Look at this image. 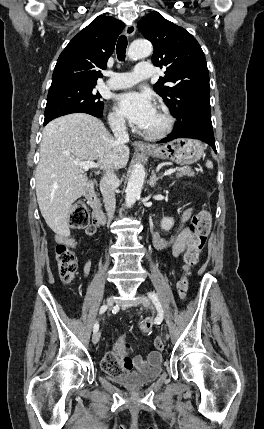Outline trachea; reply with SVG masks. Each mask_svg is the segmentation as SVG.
Returning a JSON list of instances; mask_svg holds the SVG:
<instances>
[{
  "mask_svg": "<svg viewBox=\"0 0 264 429\" xmlns=\"http://www.w3.org/2000/svg\"><path fill=\"white\" fill-rule=\"evenodd\" d=\"M126 48H127V38L125 35H121L116 45L117 57L119 61L124 60Z\"/></svg>",
  "mask_w": 264,
  "mask_h": 429,
  "instance_id": "obj_1",
  "label": "trachea"
}]
</instances>
